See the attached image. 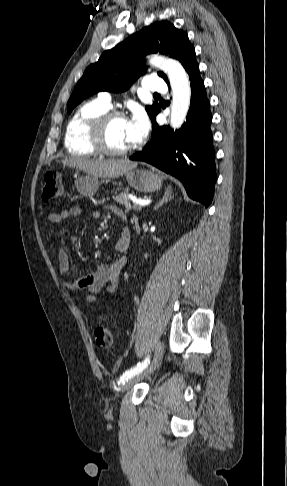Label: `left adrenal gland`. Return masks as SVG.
I'll return each mask as SVG.
<instances>
[{"mask_svg":"<svg viewBox=\"0 0 287 486\" xmlns=\"http://www.w3.org/2000/svg\"><path fill=\"white\" fill-rule=\"evenodd\" d=\"M173 198L172 196V188L171 187H168L164 193V196L162 197V199L154 206L153 210H157L159 209V207H161L163 204L167 203L168 201H170L171 199Z\"/></svg>","mask_w":287,"mask_h":486,"instance_id":"obj_1","label":"left adrenal gland"}]
</instances>
